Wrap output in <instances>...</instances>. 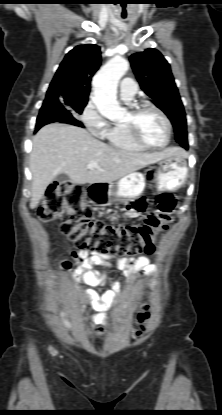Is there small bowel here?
I'll use <instances>...</instances> for the list:
<instances>
[{
  "mask_svg": "<svg viewBox=\"0 0 222 415\" xmlns=\"http://www.w3.org/2000/svg\"><path fill=\"white\" fill-rule=\"evenodd\" d=\"M73 256L81 261V265L75 270V277L92 287L103 285L106 282L105 272L113 266L123 270L128 277L135 274H150L155 271V266L150 265L146 257L121 258L113 255L90 253L84 250L74 251ZM93 267H98V270H90ZM118 292L119 289L115 287L101 296L95 292L89 294V307L98 311V314L92 317V332L94 335L103 334V326L107 323L105 311L116 304Z\"/></svg>",
  "mask_w": 222,
  "mask_h": 415,
  "instance_id": "c3829d8e",
  "label": "small bowel"
}]
</instances>
